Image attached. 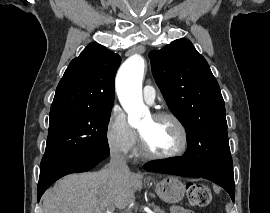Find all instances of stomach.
<instances>
[{
    "label": "stomach",
    "mask_w": 270,
    "mask_h": 213,
    "mask_svg": "<svg viewBox=\"0 0 270 213\" xmlns=\"http://www.w3.org/2000/svg\"><path fill=\"white\" fill-rule=\"evenodd\" d=\"M185 191V184L175 176H165L155 185V192L167 203H177L181 201Z\"/></svg>",
    "instance_id": "0dacf381"
}]
</instances>
